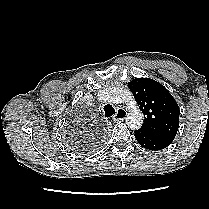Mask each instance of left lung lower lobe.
<instances>
[{
	"instance_id": "0a47b994",
	"label": "left lung lower lobe",
	"mask_w": 209,
	"mask_h": 209,
	"mask_svg": "<svg viewBox=\"0 0 209 209\" xmlns=\"http://www.w3.org/2000/svg\"><path fill=\"white\" fill-rule=\"evenodd\" d=\"M134 136L142 147L154 151L168 147L174 140L169 137L150 134L140 129L135 131Z\"/></svg>"
}]
</instances>
